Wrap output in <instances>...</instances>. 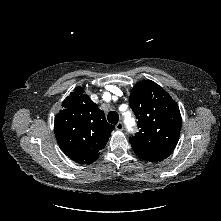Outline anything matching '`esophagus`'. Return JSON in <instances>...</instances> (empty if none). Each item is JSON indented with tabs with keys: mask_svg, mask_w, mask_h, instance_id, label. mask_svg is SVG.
<instances>
[{
	"mask_svg": "<svg viewBox=\"0 0 221 221\" xmlns=\"http://www.w3.org/2000/svg\"><path fill=\"white\" fill-rule=\"evenodd\" d=\"M115 128H116V130L121 131V130L124 129V125H123L122 122H119V123L116 124Z\"/></svg>",
	"mask_w": 221,
	"mask_h": 221,
	"instance_id": "1",
	"label": "esophagus"
}]
</instances>
